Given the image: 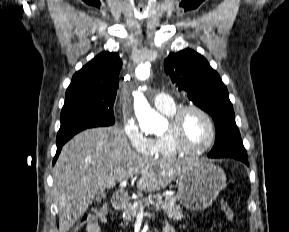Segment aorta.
Listing matches in <instances>:
<instances>
[{
    "mask_svg": "<svg viewBox=\"0 0 289 232\" xmlns=\"http://www.w3.org/2000/svg\"><path fill=\"white\" fill-rule=\"evenodd\" d=\"M144 70L142 78L148 77V65H141ZM136 115L141 129L146 133H157L165 129V119L153 110L142 94H139L135 103Z\"/></svg>",
    "mask_w": 289,
    "mask_h": 232,
    "instance_id": "1",
    "label": "aorta"
}]
</instances>
